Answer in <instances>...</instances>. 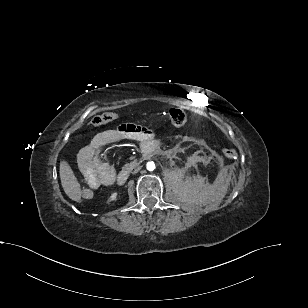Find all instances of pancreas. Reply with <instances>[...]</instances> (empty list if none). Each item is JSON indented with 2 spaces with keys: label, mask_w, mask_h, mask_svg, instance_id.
<instances>
[{
  "label": "pancreas",
  "mask_w": 308,
  "mask_h": 308,
  "mask_svg": "<svg viewBox=\"0 0 308 308\" xmlns=\"http://www.w3.org/2000/svg\"><path fill=\"white\" fill-rule=\"evenodd\" d=\"M137 165H138L137 160H134V161H132V162H130V163L125 164V166H124L123 168H124V169H127V170H131V169H133L134 167H136Z\"/></svg>",
  "instance_id": "1"
}]
</instances>
